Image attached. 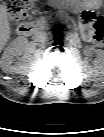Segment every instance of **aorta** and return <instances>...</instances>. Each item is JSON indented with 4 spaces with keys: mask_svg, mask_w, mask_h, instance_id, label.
Listing matches in <instances>:
<instances>
[{
    "mask_svg": "<svg viewBox=\"0 0 104 137\" xmlns=\"http://www.w3.org/2000/svg\"><path fill=\"white\" fill-rule=\"evenodd\" d=\"M56 35H57V38H58V39H61V40H62V39H65V38L67 37V32H66L65 30H62V29H61V30H58V31H57V34H56Z\"/></svg>",
    "mask_w": 104,
    "mask_h": 137,
    "instance_id": "obj_1",
    "label": "aorta"
}]
</instances>
